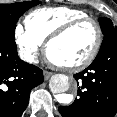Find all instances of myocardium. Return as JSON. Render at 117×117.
I'll list each match as a JSON object with an SVG mask.
<instances>
[{
  "label": "myocardium",
  "instance_id": "f54148a6",
  "mask_svg": "<svg viewBox=\"0 0 117 117\" xmlns=\"http://www.w3.org/2000/svg\"><path fill=\"white\" fill-rule=\"evenodd\" d=\"M84 23H92L95 26L96 33H97L96 41H95L94 47H93L92 51L90 52V54L82 61L72 64V65H60V64L53 62L49 56V50H50L51 45L55 41L66 36L73 29H75L76 27H78L79 25L84 24ZM102 41H103V32H102V28H101L99 22L91 17H83V18L75 19L73 21L66 23L61 28H59L54 33H52L45 42V55H46L48 62L55 68H58L65 72H78V71H81V70L85 69L86 67H88L96 59V57L100 51Z\"/></svg>",
  "mask_w": 117,
  "mask_h": 117
}]
</instances>
